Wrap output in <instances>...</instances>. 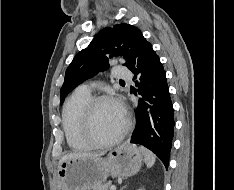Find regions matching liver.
I'll return each instance as SVG.
<instances>
[{
    "instance_id": "6515ba94",
    "label": "liver",
    "mask_w": 234,
    "mask_h": 190,
    "mask_svg": "<svg viewBox=\"0 0 234 190\" xmlns=\"http://www.w3.org/2000/svg\"><path fill=\"white\" fill-rule=\"evenodd\" d=\"M103 154H94V153H69L67 155H64L60 161L59 164L62 162L69 160V159H75V158H83V157H100Z\"/></svg>"
}]
</instances>
